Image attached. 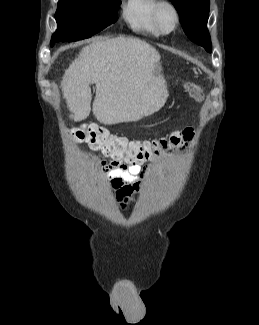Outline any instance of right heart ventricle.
<instances>
[{
    "label": "right heart ventricle",
    "mask_w": 259,
    "mask_h": 325,
    "mask_svg": "<svg viewBox=\"0 0 259 325\" xmlns=\"http://www.w3.org/2000/svg\"><path fill=\"white\" fill-rule=\"evenodd\" d=\"M156 3L157 0H126L122 6V17L132 29L159 36L161 33L152 18Z\"/></svg>",
    "instance_id": "right-heart-ventricle-1"
}]
</instances>
